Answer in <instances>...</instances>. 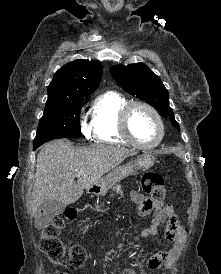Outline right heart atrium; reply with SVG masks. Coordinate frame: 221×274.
Listing matches in <instances>:
<instances>
[{"label":"right heart atrium","instance_id":"1","mask_svg":"<svg viewBox=\"0 0 221 274\" xmlns=\"http://www.w3.org/2000/svg\"><path fill=\"white\" fill-rule=\"evenodd\" d=\"M82 133L86 138H90L91 136V127L85 122H82L81 125Z\"/></svg>","mask_w":221,"mask_h":274}]
</instances>
